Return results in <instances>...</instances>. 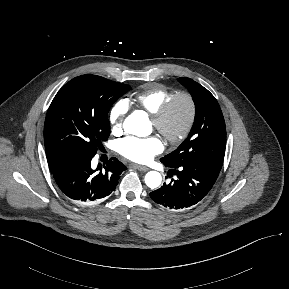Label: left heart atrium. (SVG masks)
Masks as SVG:
<instances>
[{
  "mask_svg": "<svg viewBox=\"0 0 289 289\" xmlns=\"http://www.w3.org/2000/svg\"><path fill=\"white\" fill-rule=\"evenodd\" d=\"M118 152L126 159L146 164L163 151V144L158 137L139 138L127 136L117 142Z\"/></svg>",
  "mask_w": 289,
  "mask_h": 289,
  "instance_id": "39dd6f15",
  "label": "left heart atrium"
}]
</instances>
